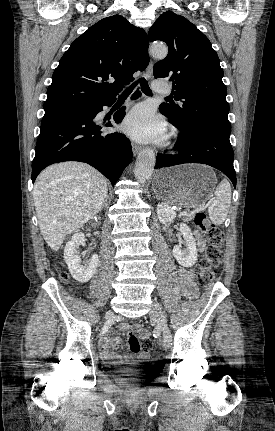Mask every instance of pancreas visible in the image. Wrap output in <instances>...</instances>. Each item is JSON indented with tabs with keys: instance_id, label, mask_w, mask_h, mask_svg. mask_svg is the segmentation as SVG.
<instances>
[{
	"instance_id": "obj_1",
	"label": "pancreas",
	"mask_w": 275,
	"mask_h": 431,
	"mask_svg": "<svg viewBox=\"0 0 275 431\" xmlns=\"http://www.w3.org/2000/svg\"><path fill=\"white\" fill-rule=\"evenodd\" d=\"M194 215L193 214H187L185 216H183V221L184 222H190L193 219Z\"/></svg>"
}]
</instances>
